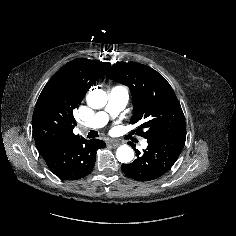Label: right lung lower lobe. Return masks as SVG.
Wrapping results in <instances>:
<instances>
[{"label":"right lung lower lobe","instance_id":"1","mask_svg":"<svg viewBox=\"0 0 236 236\" xmlns=\"http://www.w3.org/2000/svg\"><path fill=\"white\" fill-rule=\"evenodd\" d=\"M105 146L98 139L80 138L68 144H47L37 149L56 176L64 180H77L92 171L97 149Z\"/></svg>","mask_w":236,"mask_h":236}]
</instances>
